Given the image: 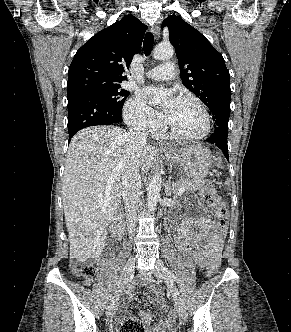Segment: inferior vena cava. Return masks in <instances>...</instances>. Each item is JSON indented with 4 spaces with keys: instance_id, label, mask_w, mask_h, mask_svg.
<instances>
[{
    "instance_id": "obj_1",
    "label": "inferior vena cava",
    "mask_w": 291,
    "mask_h": 332,
    "mask_svg": "<svg viewBox=\"0 0 291 332\" xmlns=\"http://www.w3.org/2000/svg\"><path fill=\"white\" fill-rule=\"evenodd\" d=\"M128 136L130 147L127 150V161L122 175V197L128 231L132 235L135 231L140 202L139 192L142 186L139 157L141 148L146 144L148 133L141 127H134L130 129Z\"/></svg>"
}]
</instances>
